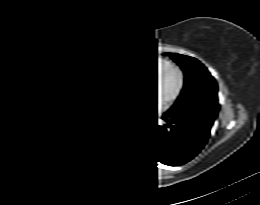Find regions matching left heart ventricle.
<instances>
[{"label":"left heart ventricle","mask_w":260,"mask_h":205,"mask_svg":"<svg viewBox=\"0 0 260 205\" xmlns=\"http://www.w3.org/2000/svg\"><path fill=\"white\" fill-rule=\"evenodd\" d=\"M178 83V74L172 73L158 86V101L160 105H163L172 96L178 86Z\"/></svg>","instance_id":"b2bd125f"}]
</instances>
